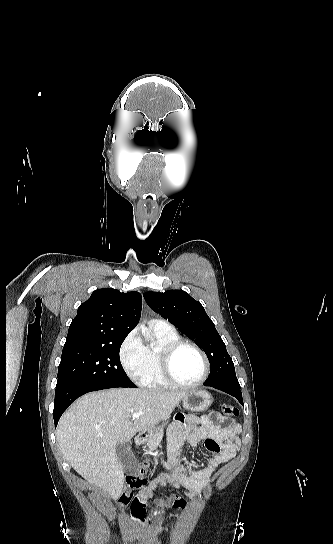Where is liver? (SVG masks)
I'll return each mask as SVG.
<instances>
[{
	"label": "liver",
	"instance_id": "1",
	"mask_svg": "<svg viewBox=\"0 0 333 544\" xmlns=\"http://www.w3.org/2000/svg\"><path fill=\"white\" fill-rule=\"evenodd\" d=\"M188 392L115 388L88 393L64 412L56 439L65 459L89 483L117 499L124 470L116 445L168 418ZM134 413H142L131 419Z\"/></svg>",
	"mask_w": 333,
	"mask_h": 544
}]
</instances>
